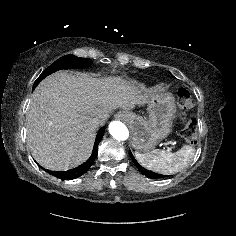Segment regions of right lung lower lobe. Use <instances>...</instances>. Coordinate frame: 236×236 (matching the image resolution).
<instances>
[{
	"instance_id": "obj_1",
	"label": "right lung lower lobe",
	"mask_w": 236,
	"mask_h": 236,
	"mask_svg": "<svg viewBox=\"0 0 236 236\" xmlns=\"http://www.w3.org/2000/svg\"><path fill=\"white\" fill-rule=\"evenodd\" d=\"M104 131H105V127H102L98 134H97V137H96V140H95V144H94V149H93V152H92V155L91 157L86 161L84 162L82 165L74 168V169H71V170H68V171H60V172H55V171H49V170H46L44 169L46 172H48L49 174L57 177V178H60V179H63V180H71V179H75V178H78L80 176H82L86 171H88V169L90 168V166L93 164L96 156H97V147H98V144L100 143L102 137H103V134H104Z\"/></svg>"
}]
</instances>
